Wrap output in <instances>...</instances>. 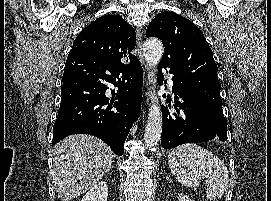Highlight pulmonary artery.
Wrapping results in <instances>:
<instances>
[{
  "instance_id": "obj_1",
  "label": "pulmonary artery",
  "mask_w": 271,
  "mask_h": 201,
  "mask_svg": "<svg viewBox=\"0 0 271 201\" xmlns=\"http://www.w3.org/2000/svg\"><path fill=\"white\" fill-rule=\"evenodd\" d=\"M169 81H170V84H171V85H173V82H172V80L170 79Z\"/></svg>"
}]
</instances>
